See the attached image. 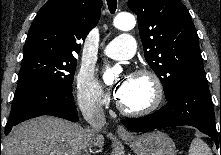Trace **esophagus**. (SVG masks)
Listing matches in <instances>:
<instances>
[{"instance_id":"1","label":"esophagus","mask_w":221,"mask_h":155,"mask_svg":"<svg viewBox=\"0 0 221 155\" xmlns=\"http://www.w3.org/2000/svg\"><path fill=\"white\" fill-rule=\"evenodd\" d=\"M117 134L122 137V138H128V137H131V134L128 132V130L122 126V125H119L117 127Z\"/></svg>"}]
</instances>
